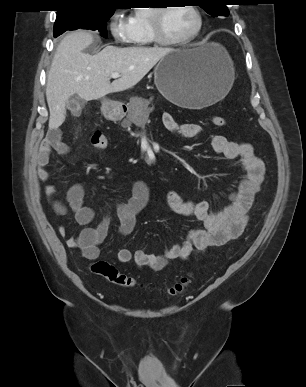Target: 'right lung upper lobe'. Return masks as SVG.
<instances>
[{"label":"right lung upper lobe","mask_w":306,"mask_h":387,"mask_svg":"<svg viewBox=\"0 0 306 387\" xmlns=\"http://www.w3.org/2000/svg\"><path fill=\"white\" fill-rule=\"evenodd\" d=\"M58 13L71 10H115L116 0H61Z\"/></svg>","instance_id":"1"}]
</instances>
